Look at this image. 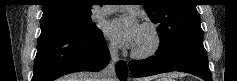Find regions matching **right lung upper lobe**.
Wrapping results in <instances>:
<instances>
[{
    "mask_svg": "<svg viewBox=\"0 0 237 81\" xmlns=\"http://www.w3.org/2000/svg\"><path fill=\"white\" fill-rule=\"evenodd\" d=\"M93 0H45L41 19L58 16H87L92 14Z\"/></svg>",
    "mask_w": 237,
    "mask_h": 81,
    "instance_id": "1",
    "label": "right lung upper lobe"
}]
</instances>
